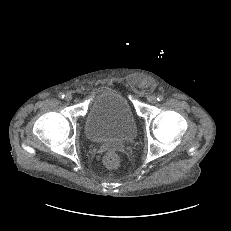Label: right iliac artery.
Listing matches in <instances>:
<instances>
[{"instance_id": "obj_1", "label": "right iliac artery", "mask_w": 231, "mask_h": 231, "mask_svg": "<svg viewBox=\"0 0 231 231\" xmlns=\"http://www.w3.org/2000/svg\"><path fill=\"white\" fill-rule=\"evenodd\" d=\"M59 98L63 99L65 97V95L63 93H59Z\"/></svg>"}]
</instances>
